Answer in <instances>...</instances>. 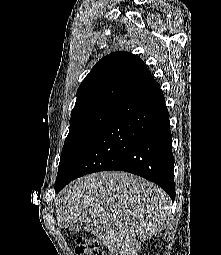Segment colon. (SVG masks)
Here are the masks:
<instances>
[{
	"instance_id": "colon-1",
	"label": "colon",
	"mask_w": 221,
	"mask_h": 255,
	"mask_svg": "<svg viewBox=\"0 0 221 255\" xmlns=\"http://www.w3.org/2000/svg\"><path fill=\"white\" fill-rule=\"evenodd\" d=\"M75 253L76 255H106L96 240L85 236L77 239Z\"/></svg>"
}]
</instances>
